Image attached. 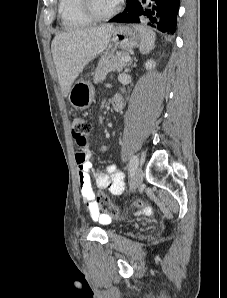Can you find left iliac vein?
<instances>
[{
    "mask_svg": "<svg viewBox=\"0 0 227 298\" xmlns=\"http://www.w3.org/2000/svg\"><path fill=\"white\" fill-rule=\"evenodd\" d=\"M143 180V171L141 167H138L134 172L133 178L130 182V191L135 190Z\"/></svg>",
    "mask_w": 227,
    "mask_h": 298,
    "instance_id": "obj_1",
    "label": "left iliac vein"
}]
</instances>
